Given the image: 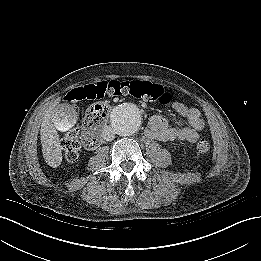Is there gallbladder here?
Returning <instances> with one entry per match:
<instances>
[{
	"instance_id": "obj_1",
	"label": "gallbladder",
	"mask_w": 261,
	"mask_h": 261,
	"mask_svg": "<svg viewBox=\"0 0 261 261\" xmlns=\"http://www.w3.org/2000/svg\"><path fill=\"white\" fill-rule=\"evenodd\" d=\"M52 122L60 132L70 130L77 122L75 109L69 104H59L52 112Z\"/></svg>"
}]
</instances>
